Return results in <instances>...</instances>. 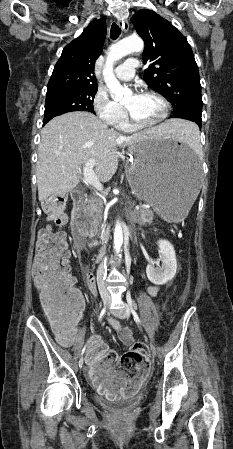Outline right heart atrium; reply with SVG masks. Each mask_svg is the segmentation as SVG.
<instances>
[{
	"label": "right heart atrium",
	"mask_w": 233,
	"mask_h": 449,
	"mask_svg": "<svg viewBox=\"0 0 233 449\" xmlns=\"http://www.w3.org/2000/svg\"><path fill=\"white\" fill-rule=\"evenodd\" d=\"M92 106L100 120L108 125H115L125 114V109L112 100L108 91L104 88H98L93 97Z\"/></svg>",
	"instance_id": "1"
}]
</instances>
